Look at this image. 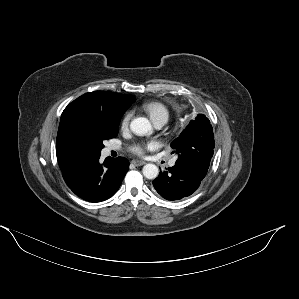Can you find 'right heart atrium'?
Instances as JSON below:
<instances>
[{
  "instance_id": "d8ad5b80",
  "label": "right heart atrium",
  "mask_w": 299,
  "mask_h": 299,
  "mask_svg": "<svg viewBox=\"0 0 299 299\" xmlns=\"http://www.w3.org/2000/svg\"><path fill=\"white\" fill-rule=\"evenodd\" d=\"M131 116H132L131 111H127V112L123 115V117H122V119H121V122H120V127H121V128H126V127L128 126V124H129V122H130V119H131Z\"/></svg>"
}]
</instances>
